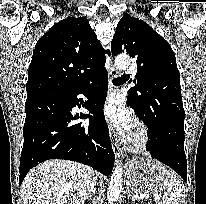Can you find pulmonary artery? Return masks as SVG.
<instances>
[{
	"mask_svg": "<svg viewBox=\"0 0 206 204\" xmlns=\"http://www.w3.org/2000/svg\"><path fill=\"white\" fill-rule=\"evenodd\" d=\"M135 71H136L135 68H130L128 72L129 73H134Z\"/></svg>",
	"mask_w": 206,
	"mask_h": 204,
	"instance_id": "pulmonary-artery-1",
	"label": "pulmonary artery"
}]
</instances>
